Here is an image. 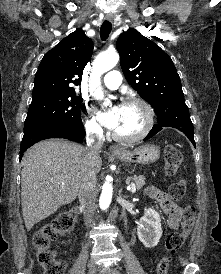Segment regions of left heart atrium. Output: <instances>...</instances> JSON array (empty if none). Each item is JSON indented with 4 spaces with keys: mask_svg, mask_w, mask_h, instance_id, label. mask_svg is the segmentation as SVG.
Instances as JSON below:
<instances>
[{
    "mask_svg": "<svg viewBox=\"0 0 221 274\" xmlns=\"http://www.w3.org/2000/svg\"><path fill=\"white\" fill-rule=\"evenodd\" d=\"M120 116V106H113L109 110L100 112L99 117L102 123L109 129H115Z\"/></svg>",
    "mask_w": 221,
    "mask_h": 274,
    "instance_id": "left-heart-atrium-1",
    "label": "left heart atrium"
}]
</instances>
